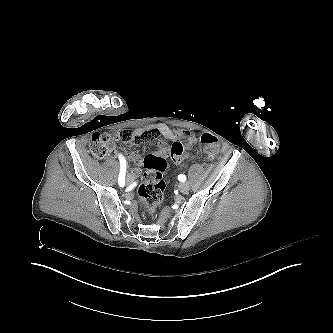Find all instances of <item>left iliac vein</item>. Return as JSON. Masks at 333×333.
Listing matches in <instances>:
<instances>
[{
	"label": "left iliac vein",
	"mask_w": 333,
	"mask_h": 333,
	"mask_svg": "<svg viewBox=\"0 0 333 333\" xmlns=\"http://www.w3.org/2000/svg\"><path fill=\"white\" fill-rule=\"evenodd\" d=\"M189 184L187 182H182L179 184L178 189L181 193L186 194L189 191Z\"/></svg>",
	"instance_id": "left-iliac-vein-1"
}]
</instances>
